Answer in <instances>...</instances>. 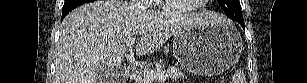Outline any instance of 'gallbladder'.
Listing matches in <instances>:
<instances>
[{
  "label": "gallbladder",
  "mask_w": 307,
  "mask_h": 83,
  "mask_svg": "<svg viewBox=\"0 0 307 83\" xmlns=\"http://www.w3.org/2000/svg\"><path fill=\"white\" fill-rule=\"evenodd\" d=\"M116 76H117L116 71L104 68L98 73L97 80H99V82L101 83H112L116 82L117 79H114Z\"/></svg>",
  "instance_id": "gallbladder-1"
}]
</instances>
